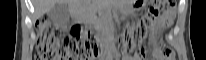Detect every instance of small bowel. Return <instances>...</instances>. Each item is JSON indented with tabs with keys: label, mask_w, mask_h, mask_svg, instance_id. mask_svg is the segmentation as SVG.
I'll list each match as a JSON object with an SVG mask.
<instances>
[{
	"label": "small bowel",
	"mask_w": 206,
	"mask_h": 60,
	"mask_svg": "<svg viewBox=\"0 0 206 60\" xmlns=\"http://www.w3.org/2000/svg\"><path fill=\"white\" fill-rule=\"evenodd\" d=\"M160 23L156 24V27H160ZM153 57L156 60H173L172 56H168L165 51L161 48H155L153 52ZM125 60H140L141 58H131V57H125Z\"/></svg>",
	"instance_id": "c3829d8e"
}]
</instances>
